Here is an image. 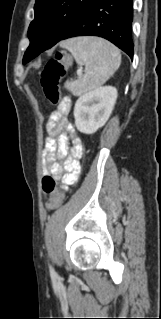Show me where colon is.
<instances>
[{"label":"colon","instance_id":"obj_1","mask_svg":"<svg viewBox=\"0 0 161 319\" xmlns=\"http://www.w3.org/2000/svg\"><path fill=\"white\" fill-rule=\"evenodd\" d=\"M68 58L63 54H57L51 58L40 73V85L47 100L59 105L65 114L69 112V105L61 100L58 85L65 75ZM43 192L50 195L48 207L52 209L59 208L63 201V194L57 188V181L50 176H46L42 181Z\"/></svg>","mask_w":161,"mask_h":319}]
</instances>
